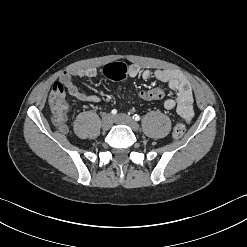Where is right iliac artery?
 Here are the masks:
<instances>
[{
    "label": "right iliac artery",
    "instance_id": "1",
    "mask_svg": "<svg viewBox=\"0 0 247 247\" xmlns=\"http://www.w3.org/2000/svg\"><path fill=\"white\" fill-rule=\"evenodd\" d=\"M111 113H112L113 115H116V114H117V110H116V109H113V110L111 111Z\"/></svg>",
    "mask_w": 247,
    "mask_h": 247
}]
</instances>
